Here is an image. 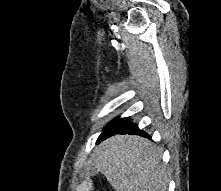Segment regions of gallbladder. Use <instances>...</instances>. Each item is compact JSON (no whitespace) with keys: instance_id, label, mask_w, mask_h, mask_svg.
<instances>
[{"instance_id":"gallbladder-1","label":"gallbladder","mask_w":221,"mask_h":191,"mask_svg":"<svg viewBox=\"0 0 221 191\" xmlns=\"http://www.w3.org/2000/svg\"><path fill=\"white\" fill-rule=\"evenodd\" d=\"M97 173H98V170H97V168L95 166L90 167L89 174L91 176H95Z\"/></svg>"}]
</instances>
